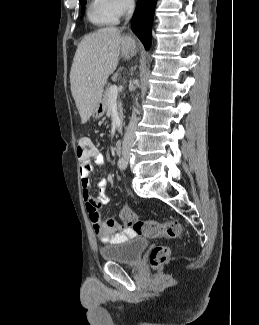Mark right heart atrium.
<instances>
[{"mask_svg": "<svg viewBox=\"0 0 259 325\" xmlns=\"http://www.w3.org/2000/svg\"><path fill=\"white\" fill-rule=\"evenodd\" d=\"M106 9L116 19L124 15L134 4V0H104Z\"/></svg>", "mask_w": 259, "mask_h": 325, "instance_id": "obj_1", "label": "right heart atrium"}]
</instances>
